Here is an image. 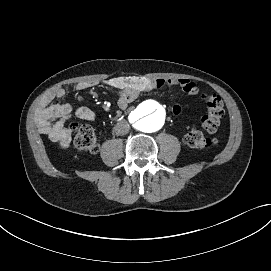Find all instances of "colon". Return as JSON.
Returning <instances> with one entry per match:
<instances>
[{"label": "colon", "mask_w": 271, "mask_h": 271, "mask_svg": "<svg viewBox=\"0 0 271 271\" xmlns=\"http://www.w3.org/2000/svg\"><path fill=\"white\" fill-rule=\"evenodd\" d=\"M202 99L204 100L207 111L202 118V127L209 133H214L218 130L221 120L224 116V104L221 97L217 94L203 93ZM172 110L177 112L180 106L175 104ZM73 132V145L78 152L81 153H95L98 150L99 144L94 130L87 126L78 123L71 125ZM185 143L196 149H203L213 145L216 140L206 136L200 130H191L184 137Z\"/></svg>", "instance_id": "obj_1"}]
</instances>
